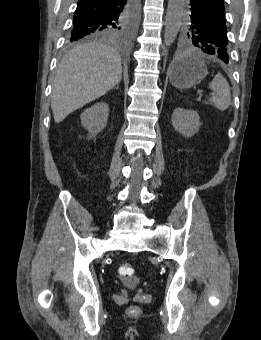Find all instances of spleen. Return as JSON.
I'll return each instance as SVG.
<instances>
[{"mask_svg":"<svg viewBox=\"0 0 261 340\" xmlns=\"http://www.w3.org/2000/svg\"><path fill=\"white\" fill-rule=\"evenodd\" d=\"M209 88L216 92V95L210 98V102L220 111H225L231 104L230 87L227 80L221 73L215 75Z\"/></svg>","mask_w":261,"mask_h":340,"instance_id":"1","label":"spleen"}]
</instances>
